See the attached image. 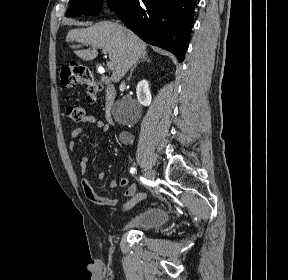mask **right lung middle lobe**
<instances>
[{"label":"right lung middle lobe","instance_id":"right-lung-middle-lobe-1","mask_svg":"<svg viewBox=\"0 0 288 280\" xmlns=\"http://www.w3.org/2000/svg\"><path fill=\"white\" fill-rule=\"evenodd\" d=\"M125 0H108L111 11L121 6ZM101 0H71L66 17L77 15H97Z\"/></svg>","mask_w":288,"mask_h":280}]
</instances>
